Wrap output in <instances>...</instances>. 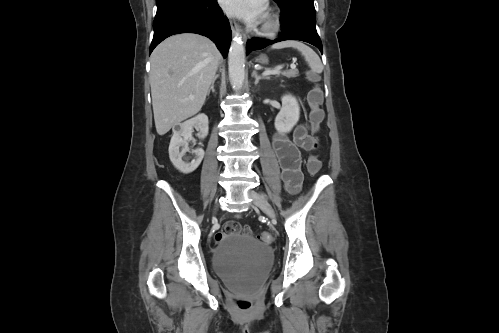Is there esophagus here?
<instances>
[{
  "label": "esophagus",
  "mask_w": 499,
  "mask_h": 333,
  "mask_svg": "<svg viewBox=\"0 0 499 333\" xmlns=\"http://www.w3.org/2000/svg\"><path fill=\"white\" fill-rule=\"evenodd\" d=\"M230 26L234 35H238L241 32V29L235 19H230Z\"/></svg>",
  "instance_id": "34e87169"
}]
</instances>
